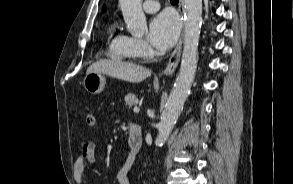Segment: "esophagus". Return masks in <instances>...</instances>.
I'll return each mask as SVG.
<instances>
[{"mask_svg":"<svg viewBox=\"0 0 293 184\" xmlns=\"http://www.w3.org/2000/svg\"><path fill=\"white\" fill-rule=\"evenodd\" d=\"M178 10L180 12V15H181V18H182V22L183 21V16H184V8H183V2L182 0L179 1V7H178ZM183 36H184V31L182 30V33H181V36L179 38V41H178V44L176 46V48L174 49L170 59H169V62L166 66V68L164 69L163 71V75H170L172 74L178 63H179V60H180V56H181V50H182V44H183Z\"/></svg>","mask_w":293,"mask_h":184,"instance_id":"obj_1","label":"esophagus"}]
</instances>
